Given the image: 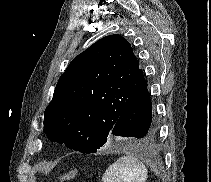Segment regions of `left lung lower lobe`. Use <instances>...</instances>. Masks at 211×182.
Masks as SVG:
<instances>
[{
  "label": "left lung lower lobe",
  "instance_id": "obj_1",
  "mask_svg": "<svg viewBox=\"0 0 211 182\" xmlns=\"http://www.w3.org/2000/svg\"><path fill=\"white\" fill-rule=\"evenodd\" d=\"M158 121L152 109V102L147 83L140 93L126 106L111 135L131 138V141L141 139L147 141L156 134Z\"/></svg>",
  "mask_w": 211,
  "mask_h": 182
}]
</instances>
